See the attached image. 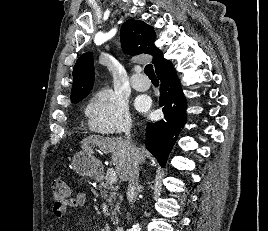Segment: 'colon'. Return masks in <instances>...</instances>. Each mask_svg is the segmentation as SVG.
Listing matches in <instances>:
<instances>
[{
  "mask_svg": "<svg viewBox=\"0 0 268 231\" xmlns=\"http://www.w3.org/2000/svg\"><path fill=\"white\" fill-rule=\"evenodd\" d=\"M51 197L54 206L66 211L70 202V188L60 179H56L51 183Z\"/></svg>",
  "mask_w": 268,
  "mask_h": 231,
  "instance_id": "1",
  "label": "colon"
}]
</instances>
